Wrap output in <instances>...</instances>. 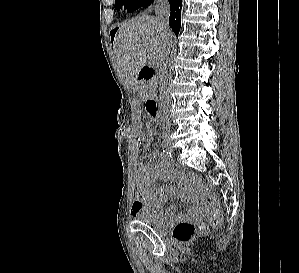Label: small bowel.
Listing matches in <instances>:
<instances>
[{
  "instance_id": "obj_1",
  "label": "small bowel",
  "mask_w": 299,
  "mask_h": 273,
  "mask_svg": "<svg viewBox=\"0 0 299 273\" xmlns=\"http://www.w3.org/2000/svg\"><path fill=\"white\" fill-rule=\"evenodd\" d=\"M153 126L151 123L146 125V133L143 137L152 139ZM141 144V139L137 138ZM152 162L141 164L138 167L136 176L137 193L131 207V214L137 217L142 211H149L160 216H173L174 207L169 205L162 208V202L167 196L176 194V188L172 185H163L153 187V183L158 180L171 181L177 180L182 192L179 194L183 201L195 200V197L188 192V180L181 174L166 158L159 157L157 154H151ZM198 214V208H192L186 212L183 217H195Z\"/></svg>"
}]
</instances>
